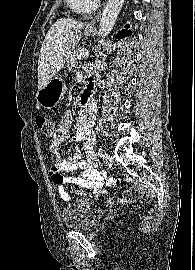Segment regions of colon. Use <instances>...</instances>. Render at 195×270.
I'll list each match as a JSON object with an SVG mask.
<instances>
[{"label":"colon","mask_w":195,"mask_h":270,"mask_svg":"<svg viewBox=\"0 0 195 270\" xmlns=\"http://www.w3.org/2000/svg\"><path fill=\"white\" fill-rule=\"evenodd\" d=\"M36 124L40 131L46 135L51 136L54 132V123L51 119L45 117V116H37L36 118ZM131 199L129 198H119V199H108L106 203L109 206H120L124 205L125 203L129 202Z\"/></svg>","instance_id":"obj_1"}]
</instances>
